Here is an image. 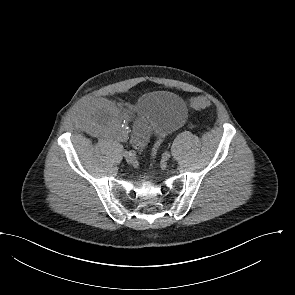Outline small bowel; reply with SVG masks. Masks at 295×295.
Here are the masks:
<instances>
[{"label":"small bowel","instance_id":"1","mask_svg":"<svg viewBox=\"0 0 295 295\" xmlns=\"http://www.w3.org/2000/svg\"><path fill=\"white\" fill-rule=\"evenodd\" d=\"M83 121L105 135H116L125 138L122 123L129 117L119 111L110 101L106 99H95L90 101L84 110ZM131 144L136 149H142L151 136V126L142 116L132 118Z\"/></svg>","mask_w":295,"mask_h":295}]
</instances>
